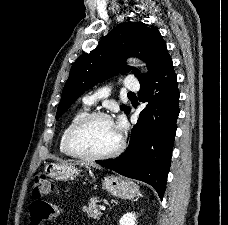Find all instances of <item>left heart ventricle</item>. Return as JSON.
<instances>
[{"mask_svg": "<svg viewBox=\"0 0 228 225\" xmlns=\"http://www.w3.org/2000/svg\"><path fill=\"white\" fill-rule=\"evenodd\" d=\"M77 146L88 153L102 154L119 143V133L108 120L96 119L85 126L77 136Z\"/></svg>", "mask_w": 228, "mask_h": 225, "instance_id": "left-heart-ventricle-1", "label": "left heart ventricle"}]
</instances>
